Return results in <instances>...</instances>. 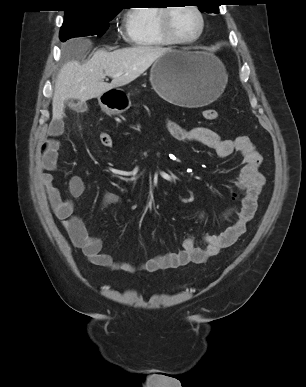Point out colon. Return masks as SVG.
<instances>
[{
    "label": "colon",
    "mask_w": 306,
    "mask_h": 387,
    "mask_svg": "<svg viewBox=\"0 0 306 387\" xmlns=\"http://www.w3.org/2000/svg\"><path fill=\"white\" fill-rule=\"evenodd\" d=\"M203 116L207 121H216L219 114L215 109H206L203 112ZM99 142L105 147H110L113 143L111 135L106 131H102L99 134Z\"/></svg>",
    "instance_id": "colon-1"
}]
</instances>
